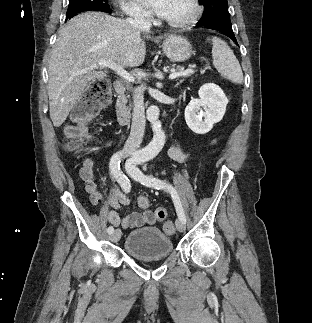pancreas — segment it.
Wrapping results in <instances>:
<instances>
[{
  "instance_id": "cf45deb5",
  "label": "pancreas",
  "mask_w": 312,
  "mask_h": 323,
  "mask_svg": "<svg viewBox=\"0 0 312 323\" xmlns=\"http://www.w3.org/2000/svg\"><path fill=\"white\" fill-rule=\"evenodd\" d=\"M183 78H185V76H183ZM124 104H127V100H124ZM128 108H131V104L128 106Z\"/></svg>"
}]
</instances>
